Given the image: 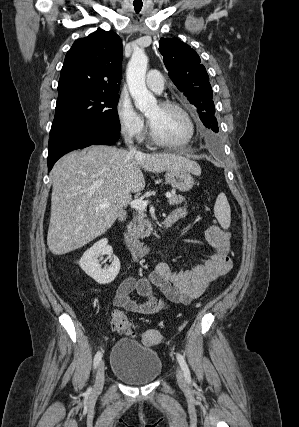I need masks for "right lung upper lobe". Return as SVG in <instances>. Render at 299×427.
<instances>
[{
    "mask_svg": "<svg viewBox=\"0 0 299 427\" xmlns=\"http://www.w3.org/2000/svg\"><path fill=\"white\" fill-rule=\"evenodd\" d=\"M122 41L113 31H96L74 42L58 82V100L85 92H118Z\"/></svg>",
    "mask_w": 299,
    "mask_h": 427,
    "instance_id": "right-lung-upper-lobe-1",
    "label": "right lung upper lobe"
}]
</instances>
